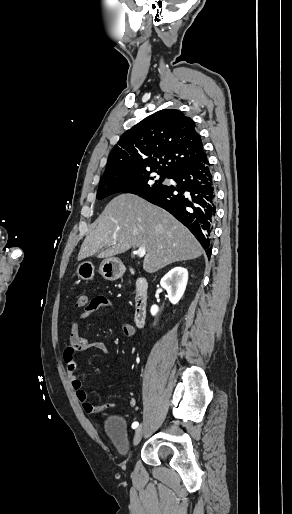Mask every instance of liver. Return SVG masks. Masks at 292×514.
Returning <instances> with one entry per match:
<instances>
[{"label": "liver", "mask_w": 292, "mask_h": 514, "mask_svg": "<svg viewBox=\"0 0 292 514\" xmlns=\"http://www.w3.org/2000/svg\"><path fill=\"white\" fill-rule=\"evenodd\" d=\"M132 246L146 248L143 268L149 274L203 254L193 234L171 214L134 194H122L107 204L98 226L86 236L78 260L98 252L97 258H112Z\"/></svg>", "instance_id": "1"}]
</instances>
